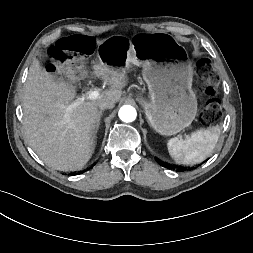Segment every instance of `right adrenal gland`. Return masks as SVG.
<instances>
[{
	"label": "right adrenal gland",
	"mask_w": 253,
	"mask_h": 253,
	"mask_svg": "<svg viewBox=\"0 0 253 253\" xmlns=\"http://www.w3.org/2000/svg\"><path fill=\"white\" fill-rule=\"evenodd\" d=\"M102 112H103V110H100V112H99V116H98V119H97V122H96V125H95V133H97V131L99 129Z\"/></svg>",
	"instance_id": "1"
}]
</instances>
